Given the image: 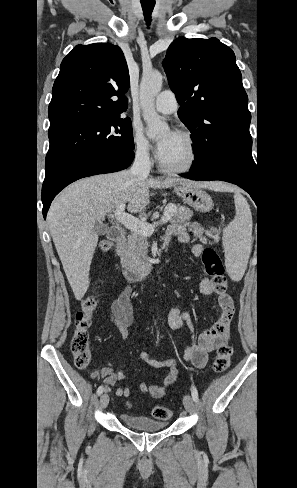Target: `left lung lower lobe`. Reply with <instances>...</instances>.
Returning <instances> with one entry per match:
<instances>
[{
	"mask_svg": "<svg viewBox=\"0 0 297 488\" xmlns=\"http://www.w3.org/2000/svg\"><path fill=\"white\" fill-rule=\"evenodd\" d=\"M180 176L191 180H221L238 185L257 203L258 181L255 171L238 163L219 161L198 168H191Z\"/></svg>",
	"mask_w": 297,
	"mask_h": 488,
	"instance_id": "left-lung-lower-lobe-1",
	"label": "left lung lower lobe"
}]
</instances>
